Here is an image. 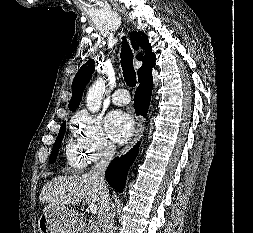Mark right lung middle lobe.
<instances>
[{"instance_id":"obj_1","label":"right lung middle lobe","mask_w":253,"mask_h":233,"mask_svg":"<svg viewBox=\"0 0 253 233\" xmlns=\"http://www.w3.org/2000/svg\"><path fill=\"white\" fill-rule=\"evenodd\" d=\"M65 129H66V125H65V122H64L62 124L60 132L57 136V139L54 143V146H53V149H52V152H51V155H50V159H49L50 163H54L56 161L58 150H59L60 144L62 142V139L64 137V134H65Z\"/></svg>"}]
</instances>
